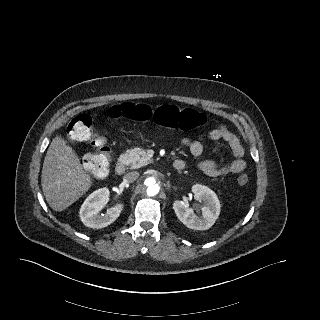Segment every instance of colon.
<instances>
[{"instance_id":"1","label":"colon","mask_w":320,"mask_h":320,"mask_svg":"<svg viewBox=\"0 0 320 320\" xmlns=\"http://www.w3.org/2000/svg\"><path fill=\"white\" fill-rule=\"evenodd\" d=\"M108 116L112 119L125 118L133 121L153 120L157 125L172 129L189 131L203 126L207 122L204 114L189 108L174 105H163L153 109L145 104L125 102L111 107ZM68 136L76 141L87 142L96 150L84 156L87 169L97 177H105L109 172L110 157L105 139L94 131L92 120L86 114L73 118L67 127ZM249 181L247 174L237 178L240 185Z\"/></svg>"}]
</instances>
